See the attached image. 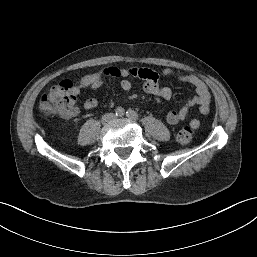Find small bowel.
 I'll return each instance as SVG.
<instances>
[{"label":"small bowel","instance_id":"c3829d8e","mask_svg":"<svg viewBox=\"0 0 257 257\" xmlns=\"http://www.w3.org/2000/svg\"><path fill=\"white\" fill-rule=\"evenodd\" d=\"M162 76L175 78L181 82L191 85L195 90V95L188 99L179 110H170L166 114V121L170 125H177L184 121L194 106H199V111L203 115H207L210 111L211 94L206 83L199 77L173 70L171 68L164 69ZM131 78H138L142 81V90L150 95L160 97L162 99H170L172 90L170 87L162 85L160 82L161 75L147 67L133 66L128 68H120L116 66H107L100 71L90 73L83 76L78 85L75 87V94L80 95L83 90H97L109 83L117 82L121 89L129 91L132 87ZM98 106L96 98H89L83 102V108L92 110ZM80 114L78 108L74 109L67 118L77 117ZM190 126L197 129L200 121L196 118L190 121Z\"/></svg>","mask_w":257,"mask_h":257}]
</instances>
